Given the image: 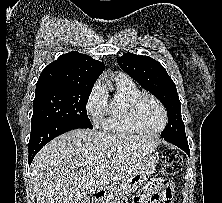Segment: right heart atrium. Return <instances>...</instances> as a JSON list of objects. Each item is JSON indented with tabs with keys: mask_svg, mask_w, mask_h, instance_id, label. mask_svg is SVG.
Masks as SVG:
<instances>
[{
	"mask_svg": "<svg viewBox=\"0 0 222 203\" xmlns=\"http://www.w3.org/2000/svg\"><path fill=\"white\" fill-rule=\"evenodd\" d=\"M107 107V94L103 87L97 84L92 89L86 103L88 116L94 126H99L104 121L107 113Z\"/></svg>",
	"mask_w": 222,
	"mask_h": 203,
	"instance_id": "d8ad5b80",
	"label": "right heart atrium"
}]
</instances>
